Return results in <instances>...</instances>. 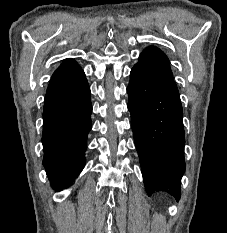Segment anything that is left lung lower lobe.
<instances>
[{
	"label": "left lung lower lobe",
	"instance_id": "1",
	"mask_svg": "<svg viewBox=\"0 0 227 233\" xmlns=\"http://www.w3.org/2000/svg\"><path fill=\"white\" fill-rule=\"evenodd\" d=\"M128 110L147 192L180 199L185 171L183 110L174 80L134 66L127 87Z\"/></svg>",
	"mask_w": 227,
	"mask_h": 233
}]
</instances>
